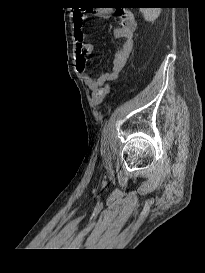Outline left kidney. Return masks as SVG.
Returning <instances> with one entry per match:
<instances>
[{
  "instance_id": "obj_1",
  "label": "left kidney",
  "mask_w": 205,
  "mask_h": 273,
  "mask_svg": "<svg viewBox=\"0 0 205 273\" xmlns=\"http://www.w3.org/2000/svg\"><path fill=\"white\" fill-rule=\"evenodd\" d=\"M141 13L148 22H154L160 15V8H140Z\"/></svg>"
}]
</instances>
